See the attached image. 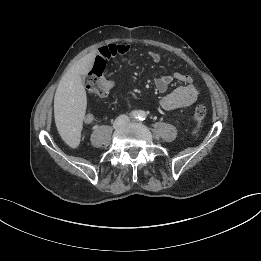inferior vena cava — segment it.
<instances>
[{"label": "inferior vena cava", "mask_w": 261, "mask_h": 261, "mask_svg": "<svg viewBox=\"0 0 261 261\" xmlns=\"http://www.w3.org/2000/svg\"><path fill=\"white\" fill-rule=\"evenodd\" d=\"M129 117L127 115H120L117 119H116V123L118 125H122L126 122H128Z\"/></svg>", "instance_id": "obj_1"}]
</instances>
